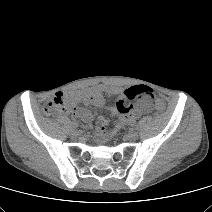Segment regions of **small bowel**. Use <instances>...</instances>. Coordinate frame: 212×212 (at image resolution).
<instances>
[{
	"instance_id": "small-bowel-1",
	"label": "small bowel",
	"mask_w": 212,
	"mask_h": 212,
	"mask_svg": "<svg viewBox=\"0 0 212 212\" xmlns=\"http://www.w3.org/2000/svg\"><path fill=\"white\" fill-rule=\"evenodd\" d=\"M104 94L115 97V104L109 108V113L118 120L116 128L120 125H131L141 115L150 111V103L147 100H140L136 104H127V90L104 84L95 85L82 91L71 93L67 98L74 105V116L84 122H89L92 119L91 113L88 110L76 107V104L82 103L84 105L102 107L105 103ZM56 96L64 98L60 93L56 94ZM106 128L107 120L105 117L100 116L98 134L101 136L106 135Z\"/></svg>"
}]
</instances>
